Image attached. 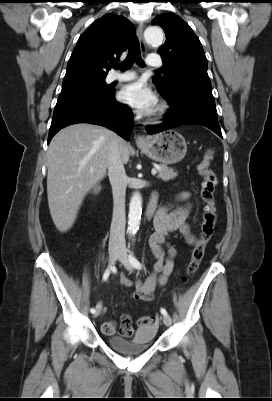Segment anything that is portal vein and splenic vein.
<instances>
[{
  "instance_id": "18ae733b",
  "label": "portal vein and splenic vein",
  "mask_w": 272,
  "mask_h": 401,
  "mask_svg": "<svg viewBox=\"0 0 272 401\" xmlns=\"http://www.w3.org/2000/svg\"><path fill=\"white\" fill-rule=\"evenodd\" d=\"M151 173H152V175L154 176V175L157 174V170H156V169H152Z\"/></svg>"
}]
</instances>
